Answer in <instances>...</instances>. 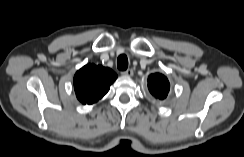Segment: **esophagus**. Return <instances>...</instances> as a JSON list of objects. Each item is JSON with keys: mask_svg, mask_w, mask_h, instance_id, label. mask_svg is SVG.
Segmentation results:
<instances>
[{"mask_svg": "<svg viewBox=\"0 0 244 157\" xmlns=\"http://www.w3.org/2000/svg\"><path fill=\"white\" fill-rule=\"evenodd\" d=\"M121 74L124 75V76H129V77H131V76H133L134 72H133L132 69H127V70H125V71H122Z\"/></svg>", "mask_w": 244, "mask_h": 157, "instance_id": "esophagus-1", "label": "esophagus"}]
</instances>
